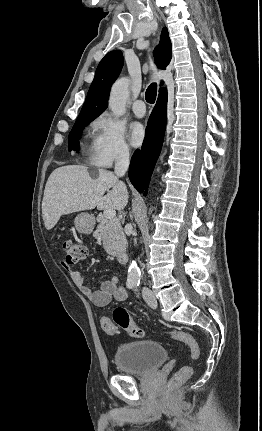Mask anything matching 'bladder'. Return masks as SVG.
I'll use <instances>...</instances> for the list:
<instances>
[{"mask_svg": "<svg viewBox=\"0 0 262 431\" xmlns=\"http://www.w3.org/2000/svg\"><path fill=\"white\" fill-rule=\"evenodd\" d=\"M165 346L152 340H136L119 346L115 362L119 371L145 375L158 370L167 360Z\"/></svg>", "mask_w": 262, "mask_h": 431, "instance_id": "obj_1", "label": "bladder"}]
</instances>
